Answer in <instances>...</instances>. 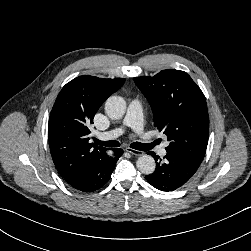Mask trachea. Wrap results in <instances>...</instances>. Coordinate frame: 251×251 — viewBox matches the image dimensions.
Segmentation results:
<instances>
[{
    "instance_id": "trachea-1",
    "label": "trachea",
    "mask_w": 251,
    "mask_h": 251,
    "mask_svg": "<svg viewBox=\"0 0 251 251\" xmlns=\"http://www.w3.org/2000/svg\"><path fill=\"white\" fill-rule=\"evenodd\" d=\"M94 142L96 145L105 146V147H119L120 146V143L116 140L100 141L98 139H95ZM130 147L136 150H140V151H148L152 149L153 145L134 142L130 145Z\"/></svg>"
}]
</instances>
